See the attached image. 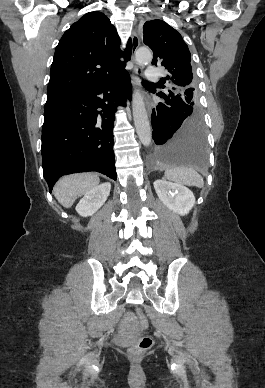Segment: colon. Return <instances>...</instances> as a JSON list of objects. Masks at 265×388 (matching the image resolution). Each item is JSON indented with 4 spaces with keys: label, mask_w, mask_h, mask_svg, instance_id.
Wrapping results in <instances>:
<instances>
[{
    "label": "colon",
    "mask_w": 265,
    "mask_h": 388,
    "mask_svg": "<svg viewBox=\"0 0 265 388\" xmlns=\"http://www.w3.org/2000/svg\"><path fill=\"white\" fill-rule=\"evenodd\" d=\"M137 316L139 325L142 329H146L149 325L148 319L143 311V309L138 306L137 309ZM153 340L150 336H142L140 337L136 343L132 346L131 352L134 354H138L144 351L149 350L152 347Z\"/></svg>",
    "instance_id": "1"
}]
</instances>
